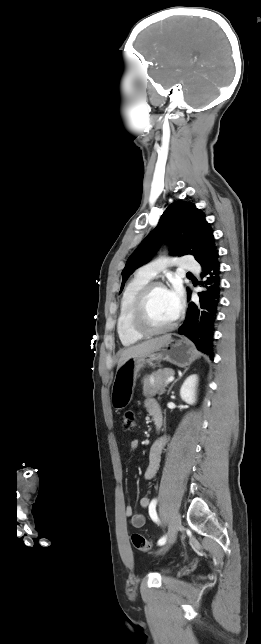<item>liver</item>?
Wrapping results in <instances>:
<instances>
[{
    "label": "liver",
    "mask_w": 261,
    "mask_h": 644,
    "mask_svg": "<svg viewBox=\"0 0 261 644\" xmlns=\"http://www.w3.org/2000/svg\"><path fill=\"white\" fill-rule=\"evenodd\" d=\"M170 339L171 335L167 334L122 350L117 369H119L129 358L151 353L165 345Z\"/></svg>",
    "instance_id": "6515ba94"
}]
</instances>
